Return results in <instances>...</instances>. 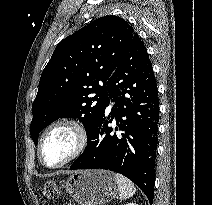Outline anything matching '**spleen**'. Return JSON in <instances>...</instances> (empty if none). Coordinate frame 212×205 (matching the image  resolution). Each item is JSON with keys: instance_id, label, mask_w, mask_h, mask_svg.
I'll list each match as a JSON object with an SVG mask.
<instances>
[{"instance_id": "3e777b00", "label": "spleen", "mask_w": 212, "mask_h": 205, "mask_svg": "<svg viewBox=\"0 0 212 205\" xmlns=\"http://www.w3.org/2000/svg\"><path fill=\"white\" fill-rule=\"evenodd\" d=\"M114 177L120 192V200H126L135 194L136 188L128 178L118 173L114 174Z\"/></svg>"}]
</instances>
